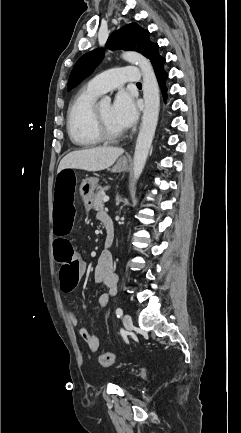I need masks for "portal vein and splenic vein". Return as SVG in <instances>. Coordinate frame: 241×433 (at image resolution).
Wrapping results in <instances>:
<instances>
[{"instance_id":"18ae733b","label":"portal vein and splenic vein","mask_w":241,"mask_h":433,"mask_svg":"<svg viewBox=\"0 0 241 433\" xmlns=\"http://www.w3.org/2000/svg\"><path fill=\"white\" fill-rule=\"evenodd\" d=\"M103 201L106 203L109 201V196H104Z\"/></svg>"}]
</instances>
